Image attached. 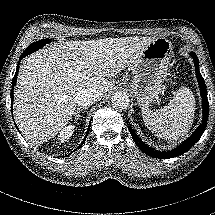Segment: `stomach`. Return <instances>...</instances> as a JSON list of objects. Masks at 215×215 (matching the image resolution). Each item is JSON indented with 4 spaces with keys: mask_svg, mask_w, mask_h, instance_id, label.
I'll return each instance as SVG.
<instances>
[{
    "mask_svg": "<svg viewBox=\"0 0 215 215\" xmlns=\"http://www.w3.org/2000/svg\"><path fill=\"white\" fill-rule=\"evenodd\" d=\"M171 50L168 39L157 38L130 65L133 79L129 88L140 106H150L163 91L162 84L169 68Z\"/></svg>",
    "mask_w": 215,
    "mask_h": 215,
    "instance_id": "obj_1",
    "label": "stomach"
}]
</instances>
